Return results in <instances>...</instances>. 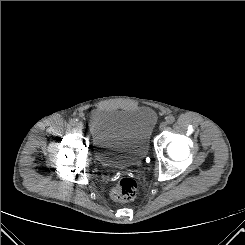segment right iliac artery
Listing matches in <instances>:
<instances>
[{"instance_id": "right-iliac-artery-1", "label": "right iliac artery", "mask_w": 245, "mask_h": 245, "mask_svg": "<svg viewBox=\"0 0 245 245\" xmlns=\"http://www.w3.org/2000/svg\"><path fill=\"white\" fill-rule=\"evenodd\" d=\"M77 121H78L77 119L73 118L69 121V123L74 126L76 125Z\"/></svg>"}]
</instances>
